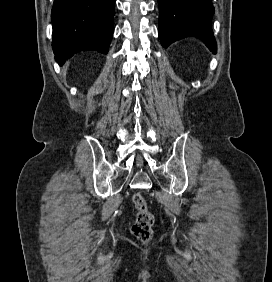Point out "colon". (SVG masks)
Returning a JSON list of instances; mask_svg holds the SVG:
<instances>
[{"label":"colon","mask_w":272,"mask_h":282,"mask_svg":"<svg viewBox=\"0 0 272 282\" xmlns=\"http://www.w3.org/2000/svg\"><path fill=\"white\" fill-rule=\"evenodd\" d=\"M132 202L136 211L135 221L132 225L133 234L138 240L147 242L152 235L154 216L141 193H136L132 198Z\"/></svg>","instance_id":"1"}]
</instances>
